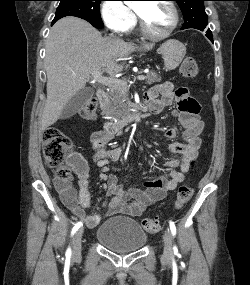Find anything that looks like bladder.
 Returning a JSON list of instances; mask_svg holds the SVG:
<instances>
[{"mask_svg":"<svg viewBox=\"0 0 250 285\" xmlns=\"http://www.w3.org/2000/svg\"><path fill=\"white\" fill-rule=\"evenodd\" d=\"M96 239L105 248L116 253H130L141 249L147 234L138 221L125 216L111 217L96 230Z\"/></svg>","mask_w":250,"mask_h":285,"instance_id":"1","label":"bladder"}]
</instances>
